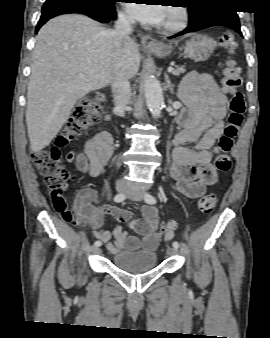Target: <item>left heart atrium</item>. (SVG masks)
<instances>
[{
	"mask_svg": "<svg viewBox=\"0 0 270 338\" xmlns=\"http://www.w3.org/2000/svg\"><path fill=\"white\" fill-rule=\"evenodd\" d=\"M129 1L138 2L137 0ZM125 6L133 17L144 23L159 24L164 16V10L161 5L125 3Z\"/></svg>",
	"mask_w": 270,
	"mask_h": 338,
	"instance_id": "39dd6f15",
	"label": "left heart atrium"
}]
</instances>
